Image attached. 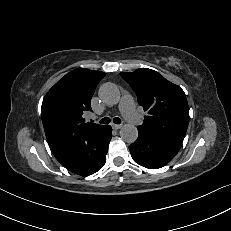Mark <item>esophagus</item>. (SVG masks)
<instances>
[{
  "label": "esophagus",
  "mask_w": 231,
  "mask_h": 231,
  "mask_svg": "<svg viewBox=\"0 0 231 231\" xmlns=\"http://www.w3.org/2000/svg\"><path fill=\"white\" fill-rule=\"evenodd\" d=\"M122 127V125L120 124H112V128L115 129V130H118Z\"/></svg>",
  "instance_id": "34e87169"
}]
</instances>
